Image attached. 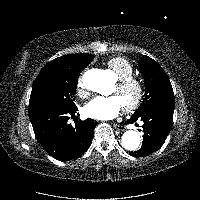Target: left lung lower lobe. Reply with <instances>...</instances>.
Listing matches in <instances>:
<instances>
[{
    "instance_id": "obj_1",
    "label": "left lung lower lobe",
    "mask_w": 200,
    "mask_h": 200,
    "mask_svg": "<svg viewBox=\"0 0 200 200\" xmlns=\"http://www.w3.org/2000/svg\"><path fill=\"white\" fill-rule=\"evenodd\" d=\"M173 111L158 107H150L140 114L133 115L127 123H134L138 119L143 120V143L138 151L130 152L131 156L144 157L161 148L168 136L173 121Z\"/></svg>"
}]
</instances>
